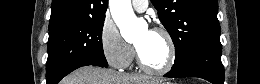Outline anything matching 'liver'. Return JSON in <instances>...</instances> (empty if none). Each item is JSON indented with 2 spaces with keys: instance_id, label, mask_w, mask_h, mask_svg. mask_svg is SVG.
I'll return each mask as SVG.
<instances>
[{
  "instance_id": "6515ba94",
  "label": "liver",
  "mask_w": 260,
  "mask_h": 84,
  "mask_svg": "<svg viewBox=\"0 0 260 84\" xmlns=\"http://www.w3.org/2000/svg\"><path fill=\"white\" fill-rule=\"evenodd\" d=\"M64 84H159V82L146 75H128L112 69L85 66L69 74Z\"/></svg>"
}]
</instances>
